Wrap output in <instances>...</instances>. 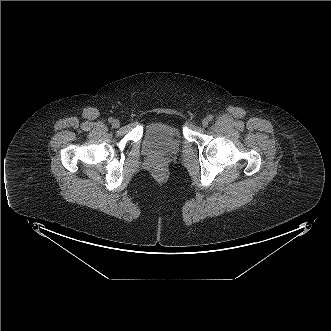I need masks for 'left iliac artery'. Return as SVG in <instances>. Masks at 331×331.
Masks as SVG:
<instances>
[{
    "label": "left iliac artery",
    "mask_w": 331,
    "mask_h": 331,
    "mask_svg": "<svg viewBox=\"0 0 331 331\" xmlns=\"http://www.w3.org/2000/svg\"><path fill=\"white\" fill-rule=\"evenodd\" d=\"M213 119V116L212 115H209L208 116V120L211 121Z\"/></svg>",
    "instance_id": "left-iliac-artery-1"
}]
</instances>
